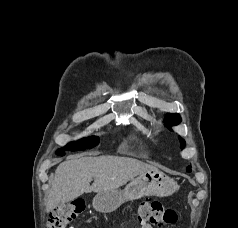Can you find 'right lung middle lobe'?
<instances>
[{
	"label": "right lung middle lobe",
	"instance_id": "1",
	"mask_svg": "<svg viewBox=\"0 0 238 228\" xmlns=\"http://www.w3.org/2000/svg\"><path fill=\"white\" fill-rule=\"evenodd\" d=\"M98 143H99L98 137L83 138L76 142L69 143L68 145L59 149L57 151V154L64 155V150L78 151V150L90 149L98 145Z\"/></svg>",
	"mask_w": 238,
	"mask_h": 228
}]
</instances>
